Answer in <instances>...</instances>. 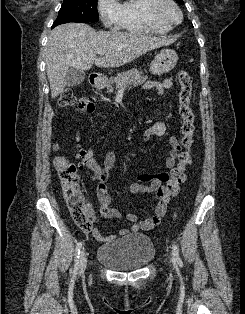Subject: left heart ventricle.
<instances>
[{
	"instance_id": "left-heart-ventricle-1",
	"label": "left heart ventricle",
	"mask_w": 245,
	"mask_h": 314,
	"mask_svg": "<svg viewBox=\"0 0 245 314\" xmlns=\"http://www.w3.org/2000/svg\"><path fill=\"white\" fill-rule=\"evenodd\" d=\"M166 12H167V15L174 21L179 20V15L173 8H167Z\"/></svg>"
}]
</instances>
